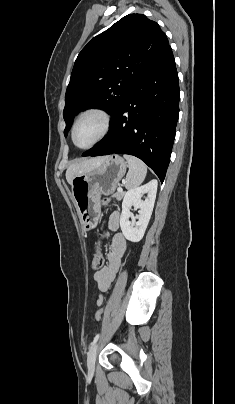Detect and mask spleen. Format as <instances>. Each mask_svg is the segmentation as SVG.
<instances>
[{"instance_id":"3e777b00","label":"spleen","mask_w":235,"mask_h":404,"mask_svg":"<svg viewBox=\"0 0 235 404\" xmlns=\"http://www.w3.org/2000/svg\"><path fill=\"white\" fill-rule=\"evenodd\" d=\"M129 171L126 176V188L132 189L139 186L145 179L147 174V167L145 163L139 158L131 155H124Z\"/></svg>"}]
</instances>
